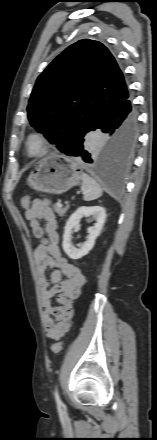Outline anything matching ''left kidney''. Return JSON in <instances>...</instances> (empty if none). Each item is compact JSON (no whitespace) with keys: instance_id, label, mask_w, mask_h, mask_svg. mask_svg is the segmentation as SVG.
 <instances>
[{"instance_id":"5707ae66","label":"left kidney","mask_w":157,"mask_h":440,"mask_svg":"<svg viewBox=\"0 0 157 440\" xmlns=\"http://www.w3.org/2000/svg\"><path fill=\"white\" fill-rule=\"evenodd\" d=\"M92 216L96 221L93 227L88 229V238L81 245L80 248L74 247L72 238V229L79 225L80 220L83 217ZM106 219V211L103 207L92 206V207H79L67 221L64 234H63V250L71 259H80L81 257L87 255L89 251L93 248L96 238L100 235Z\"/></svg>"}]
</instances>
